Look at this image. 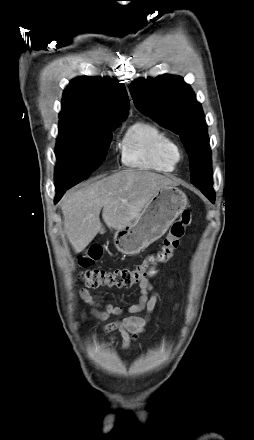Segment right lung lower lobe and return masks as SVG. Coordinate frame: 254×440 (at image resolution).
<instances>
[{
    "label": "right lung lower lobe",
    "instance_id": "98d812e1",
    "mask_svg": "<svg viewBox=\"0 0 254 440\" xmlns=\"http://www.w3.org/2000/svg\"><path fill=\"white\" fill-rule=\"evenodd\" d=\"M69 188H70L69 186L56 187L57 195H56L55 203L58 202V200L61 198V196L64 194V192Z\"/></svg>",
    "mask_w": 254,
    "mask_h": 440
}]
</instances>
